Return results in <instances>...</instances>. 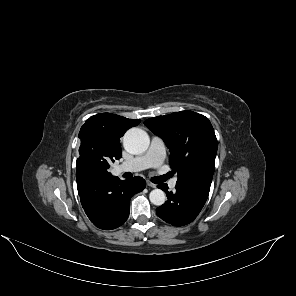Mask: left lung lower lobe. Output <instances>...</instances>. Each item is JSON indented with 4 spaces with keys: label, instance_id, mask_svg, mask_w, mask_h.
I'll list each match as a JSON object with an SVG mask.
<instances>
[{
    "label": "left lung lower lobe",
    "instance_id": "left-lung-lower-lobe-1",
    "mask_svg": "<svg viewBox=\"0 0 296 296\" xmlns=\"http://www.w3.org/2000/svg\"><path fill=\"white\" fill-rule=\"evenodd\" d=\"M158 187L167 194V202L156 209L157 215L174 226H183L192 222L203 208L210 187L196 185H176L174 192L168 191L166 184Z\"/></svg>",
    "mask_w": 296,
    "mask_h": 296
}]
</instances>
